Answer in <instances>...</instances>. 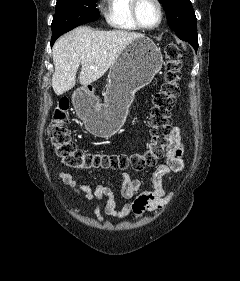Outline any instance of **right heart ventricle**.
Returning <instances> with one entry per match:
<instances>
[{"instance_id": "right-heart-ventricle-1", "label": "right heart ventricle", "mask_w": 240, "mask_h": 281, "mask_svg": "<svg viewBox=\"0 0 240 281\" xmlns=\"http://www.w3.org/2000/svg\"><path fill=\"white\" fill-rule=\"evenodd\" d=\"M105 19L112 28L121 31H137L131 15L132 0H105Z\"/></svg>"}]
</instances>
